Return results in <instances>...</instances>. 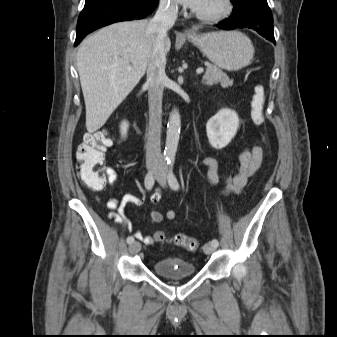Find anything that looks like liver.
<instances>
[{
  "instance_id": "1",
  "label": "liver",
  "mask_w": 337,
  "mask_h": 337,
  "mask_svg": "<svg viewBox=\"0 0 337 337\" xmlns=\"http://www.w3.org/2000/svg\"><path fill=\"white\" fill-rule=\"evenodd\" d=\"M148 24V20L115 23L81 43L76 60L89 133L106 123L144 76L157 36ZM170 46L166 37L165 53Z\"/></svg>"
}]
</instances>
